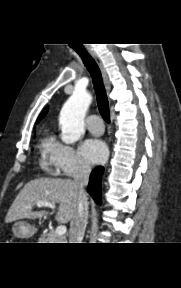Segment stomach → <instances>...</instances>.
<instances>
[{
  "mask_svg": "<svg viewBox=\"0 0 181 288\" xmlns=\"http://www.w3.org/2000/svg\"><path fill=\"white\" fill-rule=\"evenodd\" d=\"M12 231L15 237L20 239H28L32 237L36 229L26 222H16L12 227Z\"/></svg>",
  "mask_w": 181,
  "mask_h": 288,
  "instance_id": "obj_1",
  "label": "stomach"
}]
</instances>
